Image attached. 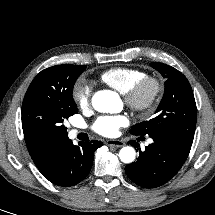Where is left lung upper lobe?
<instances>
[{"mask_svg":"<svg viewBox=\"0 0 215 215\" xmlns=\"http://www.w3.org/2000/svg\"><path fill=\"white\" fill-rule=\"evenodd\" d=\"M165 81V92L156 116L132 126L133 135H168L192 145L197 119V108L187 78L175 68L158 62L151 63Z\"/></svg>","mask_w":215,"mask_h":215,"instance_id":"left-lung-upper-lobe-1","label":"left lung upper lobe"}]
</instances>
